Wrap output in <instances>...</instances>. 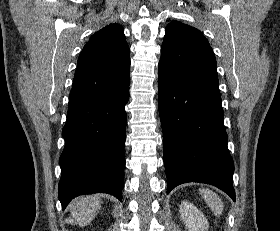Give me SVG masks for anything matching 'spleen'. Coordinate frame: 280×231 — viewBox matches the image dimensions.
I'll use <instances>...</instances> for the list:
<instances>
[{"label": "spleen", "mask_w": 280, "mask_h": 231, "mask_svg": "<svg viewBox=\"0 0 280 231\" xmlns=\"http://www.w3.org/2000/svg\"><path fill=\"white\" fill-rule=\"evenodd\" d=\"M201 195H203L206 203L211 207L215 215H221L223 211V201L220 199L219 195L211 189H199Z\"/></svg>", "instance_id": "1"}]
</instances>
